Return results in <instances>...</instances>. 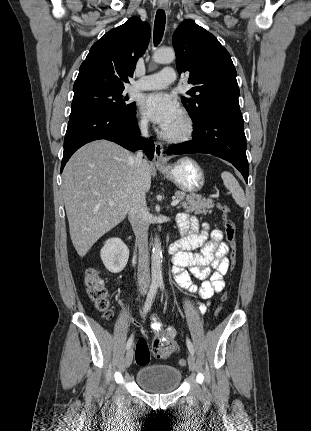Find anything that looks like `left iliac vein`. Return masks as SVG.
Wrapping results in <instances>:
<instances>
[{"instance_id":"obj_1","label":"left iliac vein","mask_w":311,"mask_h":431,"mask_svg":"<svg viewBox=\"0 0 311 431\" xmlns=\"http://www.w3.org/2000/svg\"><path fill=\"white\" fill-rule=\"evenodd\" d=\"M188 365L191 371L195 370V366H196L195 357L192 354L188 356Z\"/></svg>"}]
</instances>
